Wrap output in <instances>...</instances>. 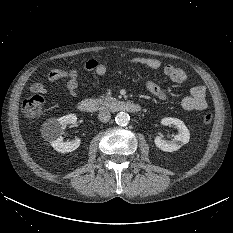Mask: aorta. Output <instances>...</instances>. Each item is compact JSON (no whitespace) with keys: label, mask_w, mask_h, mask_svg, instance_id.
I'll use <instances>...</instances> for the list:
<instances>
[{"label":"aorta","mask_w":233,"mask_h":233,"mask_svg":"<svg viewBox=\"0 0 233 233\" xmlns=\"http://www.w3.org/2000/svg\"><path fill=\"white\" fill-rule=\"evenodd\" d=\"M115 121L119 126H126L130 121V116L126 112H119L115 117Z\"/></svg>","instance_id":"obj_1"}]
</instances>
